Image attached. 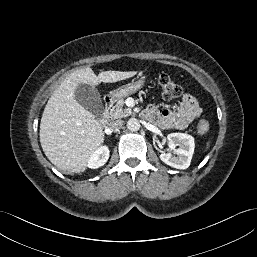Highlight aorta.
I'll use <instances>...</instances> for the list:
<instances>
[{
  "instance_id": "obj_1",
  "label": "aorta",
  "mask_w": 257,
  "mask_h": 257,
  "mask_svg": "<svg viewBox=\"0 0 257 257\" xmlns=\"http://www.w3.org/2000/svg\"><path fill=\"white\" fill-rule=\"evenodd\" d=\"M127 128L130 131H138L140 129V123L137 119L135 118H131L128 122H127Z\"/></svg>"
}]
</instances>
